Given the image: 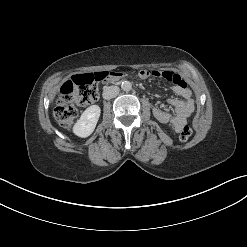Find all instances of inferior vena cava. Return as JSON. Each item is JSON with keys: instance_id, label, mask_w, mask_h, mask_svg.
Wrapping results in <instances>:
<instances>
[{"instance_id": "inferior-vena-cava-1", "label": "inferior vena cava", "mask_w": 247, "mask_h": 247, "mask_svg": "<svg viewBox=\"0 0 247 247\" xmlns=\"http://www.w3.org/2000/svg\"><path fill=\"white\" fill-rule=\"evenodd\" d=\"M119 93V87L118 86H105L103 89V98L106 100H109L111 98H114Z\"/></svg>"}]
</instances>
